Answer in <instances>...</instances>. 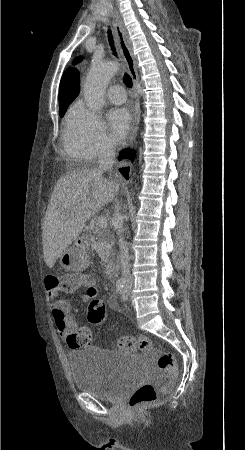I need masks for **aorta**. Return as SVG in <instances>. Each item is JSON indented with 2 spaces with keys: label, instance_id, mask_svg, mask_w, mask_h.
I'll return each instance as SVG.
<instances>
[{
  "label": "aorta",
  "instance_id": "762f6f07",
  "mask_svg": "<svg viewBox=\"0 0 245 450\" xmlns=\"http://www.w3.org/2000/svg\"><path fill=\"white\" fill-rule=\"evenodd\" d=\"M118 70L115 62L94 63L84 83V99L90 110L98 111L103 106L107 83Z\"/></svg>",
  "mask_w": 245,
  "mask_h": 450
}]
</instances>
